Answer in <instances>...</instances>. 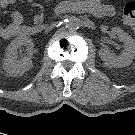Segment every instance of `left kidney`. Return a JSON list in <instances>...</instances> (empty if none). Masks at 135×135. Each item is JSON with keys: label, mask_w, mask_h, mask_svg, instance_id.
Masks as SVG:
<instances>
[{"label": "left kidney", "mask_w": 135, "mask_h": 135, "mask_svg": "<svg viewBox=\"0 0 135 135\" xmlns=\"http://www.w3.org/2000/svg\"><path fill=\"white\" fill-rule=\"evenodd\" d=\"M112 33L124 43V51L118 57L114 56L107 48L99 50V56L108 67H125L132 63L135 57V40L118 27L112 28Z\"/></svg>", "instance_id": "left-kidney-1"}]
</instances>
